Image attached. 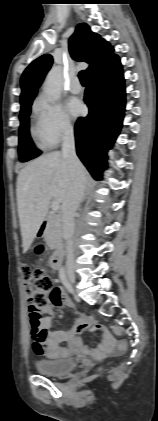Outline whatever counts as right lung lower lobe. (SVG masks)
Masks as SVG:
<instances>
[{"label":"right lung lower lobe","instance_id":"1","mask_svg":"<svg viewBox=\"0 0 158 421\" xmlns=\"http://www.w3.org/2000/svg\"><path fill=\"white\" fill-rule=\"evenodd\" d=\"M84 101L89 114L80 117L75 125L77 154L91 175L100 180L106 169L107 151L119 134L124 117L125 86L118 56L89 75Z\"/></svg>","mask_w":158,"mask_h":421}]
</instances>
